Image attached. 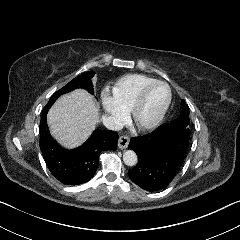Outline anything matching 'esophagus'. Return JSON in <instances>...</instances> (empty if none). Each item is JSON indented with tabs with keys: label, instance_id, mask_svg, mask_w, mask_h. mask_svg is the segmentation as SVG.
Wrapping results in <instances>:
<instances>
[{
	"label": "esophagus",
	"instance_id": "esophagus-1",
	"mask_svg": "<svg viewBox=\"0 0 240 240\" xmlns=\"http://www.w3.org/2000/svg\"><path fill=\"white\" fill-rule=\"evenodd\" d=\"M128 144H129V137L128 136L122 135V136L119 137L118 147L120 149L127 148Z\"/></svg>",
	"mask_w": 240,
	"mask_h": 240
}]
</instances>
